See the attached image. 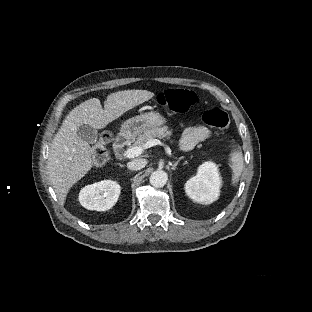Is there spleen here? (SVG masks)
I'll list each match as a JSON object with an SVG mask.
<instances>
[{
	"instance_id": "spleen-1",
	"label": "spleen",
	"mask_w": 312,
	"mask_h": 312,
	"mask_svg": "<svg viewBox=\"0 0 312 312\" xmlns=\"http://www.w3.org/2000/svg\"><path fill=\"white\" fill-rule=\"evenodd\" d=\"M231 168L233 170L232 181L233 184L239 181V177L243 171V155L242 152L234 151L231 153Z\"/></svg>"
}]
</instances>
